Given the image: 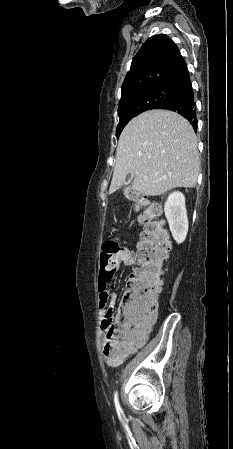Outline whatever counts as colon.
Listing matches in <instances>:
<instances>
[{
    "label": "colon",
    "instance_id": "obj_1",
    "mask_svg": "<svg viewBox=\"0 0 233 449\" xmlns=\"http://www.w3.org/2000/svg\"><path fill=\"white\" fill-rule=\"evenodd\" d=\"M130 198L143 209L140 222L144 226V232L137 253L138 265L123 294L122 320L120 322L115 318L111 310L104 316L106 334L103 354L110 363H120L123 360L128 345L134 340L138 323L143 321L144 324L150 318L156 317L158 294L161 290V269L169 250L168 235L162 223L155 219L161 214L160 204L136 194L130 195ZM122 256H129V251L121 247L117 239L104 243L99 292H106L110 281L108 272L118 265ZM120 338L124 339L123 343Z\"/></svg>",
    "mask_w": 233,
    "mask_h": 449
}]
</instances>
